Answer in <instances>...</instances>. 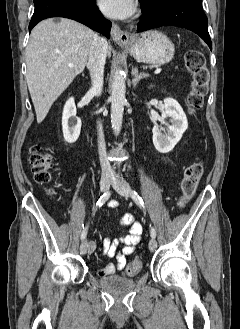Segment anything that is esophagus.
Returning a JSON list of instances; mask_svg holds the SVG:
<instances>
[{
	"instance_id": "34e87169",
	"label": "esophagus",
	"mask_w": 240,
	"mask_h": 329,
	"mask_svg": "<svg viewBox=\"0 0 240 329\" xmlns=\"http://www.w3.org/2000/svg\"><path fill=\"white\" fill-rule=\"evenodd\" d=\"M111 36L115 42L120 46H126L129 43V34L120 29V27L113 23L111 28Z\"/></svg>"
}]
</instances>
